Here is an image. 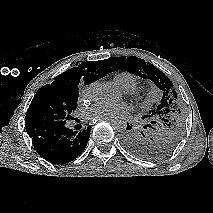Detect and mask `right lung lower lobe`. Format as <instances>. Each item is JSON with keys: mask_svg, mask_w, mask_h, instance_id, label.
Returning <instances> with one entry per match:
<instances>
[{"mask_svg": "<svg viewBox=\"0 0 213 213\" xmlns=\"http://www.w3.org/2000/svg\"><path fill=\"white\" fill-rule=\"evenodd\" d=\"M91 126L73 132L71 129L55 127L32 136L35 150L52 164H66L77 158L86 148Z\"/></svg>", "mask_w": 213, "mask_h": 213, "instance_id": "1", "label": "right lung lower lobe"}]
</instances>
